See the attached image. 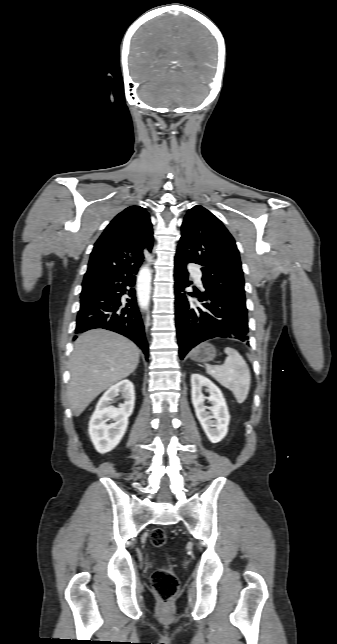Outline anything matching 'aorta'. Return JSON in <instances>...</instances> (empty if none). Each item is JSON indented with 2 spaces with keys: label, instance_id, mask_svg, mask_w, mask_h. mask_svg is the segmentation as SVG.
Listing matches in <instances>:
<instances>
[{
  "label": "aorta",
  "instance_id": "aorta-1",
  "mask_svg": "<svg viewBox=\"0 0 337 644\" xmlns=\"http://www.w3.org/2000/svg\"><path fill=\"white\" fill-rule=\"evenodd\" d=\"M150 280H151V276H150L149 270L144 269L143 271H141L138 277L137 291H138L140 305L143 308H146L149 304Z\"/></svg>",
  "mask_w": 337,
  "mask_h": 644
}]
</instances>
